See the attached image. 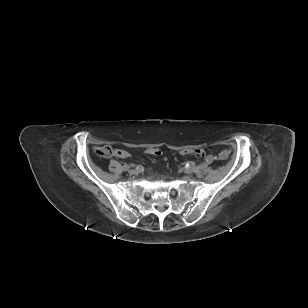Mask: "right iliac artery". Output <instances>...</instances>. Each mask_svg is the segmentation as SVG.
I'll use <instances>...</instances> for the list:
<instances>
[{"label":"right iliac artery","mask_w":308,"mask_h":308,"mask_svg":"<svg viewBox=\"0 0 308 308\" xmlns=\"http://www.w3.org/2000/svg\"><path fill=\"white\" fill-rule=\"evenodd\" d=\"M129 168H130V166L127 165V164H124V165L122 166V170H124V171H127Z\"/></svg>","instance_id":"right-iliac-artery-1"}]
</instances>
